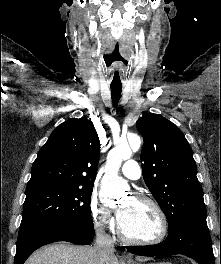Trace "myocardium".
I'll use <instances>...</instances> for the list:
<instances>
[{
  "label": "myocardium",
  "mask_w": 221,
  "mask_h": 264,
  "mask_svg": "<svg viewBox=\"0 0 221 264\" xmlns=\"http://www.w3.org/2000/svg\"><path fill=\"white\" fill-rule=\"evenodd\" d=\"M134 199L139 202L149 204L155 210L160 220L159 234L155 238L148 239V240H140V239L131 238L123 231L121 223L119 222L118 234L120 238L128 244L140 245V246H152V245H157L161 243L167 237V234L169 231V222H168V218H167L165 211L163 210V208L160 206V204L156 200H154L153 198L149 196L137 195L134 197Z\"/></svg>",
  "instance_id": "obj_1"
}]
</instances>
